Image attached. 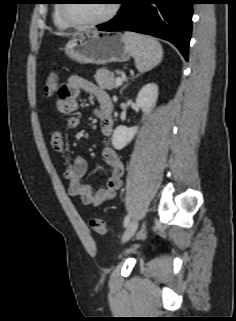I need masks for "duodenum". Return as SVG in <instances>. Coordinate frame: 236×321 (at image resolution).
<instances>
[{
  "label": "duodenum",
  "instance_id": "duodenum-1",
  "mask_svg": "<svg viewBox=\"0 0 236 321\" xmlns=\"http://www.w3.org/2000/svg\"><path fill=\"white\" fill-rule=\"evenodd\" d=\"M113 107H114V105H113V103H112V101H111V103L109 104V109H110L111 112H112V110H113Z\"/></svg>",
  "mask_w": 236,
  "mask_h": 321
}]
</instances>
